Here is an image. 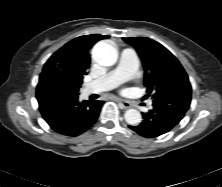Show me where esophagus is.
<instances>
[{
    "label": "esophagus",
    "mask_w": 222,
    "mask_h": 187,
    "mask_svg": "<svg viewBox=\"0 0 222 187\" xmlns=\"http://www.w3.org/2000/svg\"><path fill=\"white\" fill-rule=\"evenodd\" d=\"M120 105L122 106V108L124 109H129L131 108V104L128 101H124V100H119Z\"/></svg>",
    "instance_id": "esophagus-1"
}]
</instances>
